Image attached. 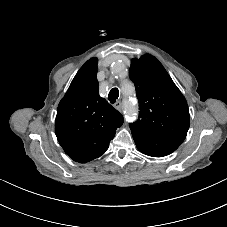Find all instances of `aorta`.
<instances>
[{
    "instance_id": "762f6f07",
    "label": "aorta",
    "mask_w": 227,
    "mask_h": 227,
    "mask_svg": "<svg viewBox=\"0 0 227 227\" xmlns=\"http://www.w3.org/2000/svg\"><path fill=\"white\" fill-rule=\"evenodd\" d=\"M113 72H114V75L117 76V77H121L122 74L125 72V66L123 63L121 62H117L115 63L114 67H113ZM136 112V108L129 105L128 109H127V113L128 115H133L134 113Z\"/></svg>"
}]
</instances>
